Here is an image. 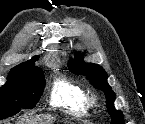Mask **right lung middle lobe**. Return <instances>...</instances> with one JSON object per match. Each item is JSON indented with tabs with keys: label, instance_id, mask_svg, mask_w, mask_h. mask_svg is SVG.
Masks as SVG:
<instances>
[{
	"label": "right lung middle lobe",
	"instance_id": "1",
	"mask_svg": "<svg viewBox=\"0 0 145 124\" xmlns=\"http://www.w3.org/2000/svg\"><path fill=\"white\" fill-rule=\"evenodd\" d=\"M44 85V74L39 67L23 75L8 77L0 89V120L17 114L22 108L35 107Z\"/></svg>",
	"mask_w": 145,
	"mask_h": 124
}]
</instances>
